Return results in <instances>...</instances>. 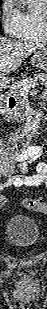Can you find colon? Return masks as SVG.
<instances>
[{"instance_id":"5ec220e1","label":"colon","mask_w":47,"mask_h":309,"mask_svg":"<svg viewBox=\"0 0 47 309\" xmlns=\"http://www.w3.org/2000/svg\"><path fill=\"white\" fill-rule=\"evenodd\" d=\"M4 202V200H2ZM23 205L26 209L45 214L47 211V205L44 201L40 199H31V198H25L23 200Z\"/></svg>"}]
</instances>
